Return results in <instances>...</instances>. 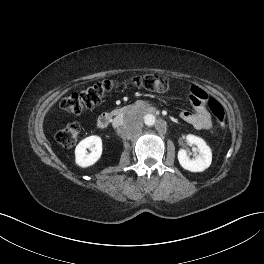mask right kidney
Wrapping results in <instances>:
<instances>
[{
    "label": "right kidney",
    "mask_w": 264,
    "mask_h": 264,
    "mask_svg": "<svg viewBox=\"0 0 264 264\" xmlns=\"http://www.w3.org/2000/svg\"><path fill=\"white\" fill-rule=\"evenodd\" d=\"M87 149L91 152L88 153ZM102 155V140L99 136H89L79 142L75 149V163L86 168L95 164Z\"/></svg>",
    "instance_id": "ca27d5eb"
}]
</instances>
